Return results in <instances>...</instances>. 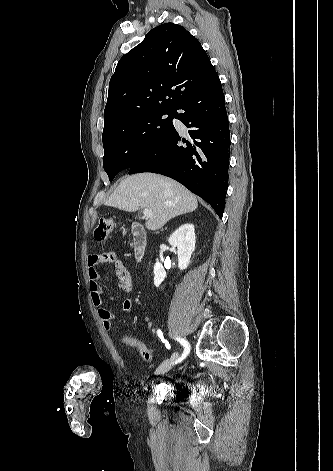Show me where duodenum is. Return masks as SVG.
Listing matches in <instances>:
<instances>
[{"instance_id": "1", "label": "duodenum", "mask_w": 333, "mask_h": 471, "mask_svg": "<svg viewBox=\"0 0 333 471\" xmlns=\"http://www.w3.org/2000/svg\"><path fill=\"white\" fill-rule=\"evenodd\" d=\"M133 251L138 261H141L145 255L147 247V237L143 227L137 223L132 226Z\"/></svg>"}]
</instances>
